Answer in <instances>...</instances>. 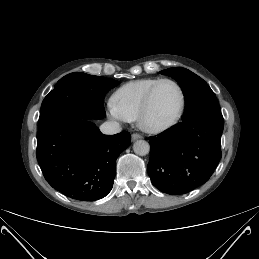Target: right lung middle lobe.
<instances>
[{
    "instance_id": "right-lung-middle-lobe-1",
    "label": "right lung middle lobe",
    "mask_w": 259,
    "mask_h": 259,
    "mask_svg": "<svg viewBox=\"0 0 259 259\" xmlns=\"http://www.w3.org/2000/svg\"><path fill=\"white\" fill-rule=\"evenodd\" d=\"M118 81L81 72L61 78L41 105L39 124L60 115L84 119H103L106 116L103 98Z\"/></svg>"
}]
</instances>
